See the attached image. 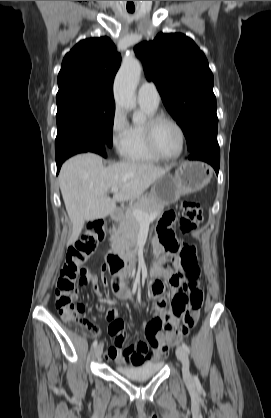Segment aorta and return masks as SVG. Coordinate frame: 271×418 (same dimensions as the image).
Listing matches in <instances>:
<instances>
[{
  "label": "aorta",
  "instance_id": "762f6f07",
  "mask_svg": "<svg viewBox=\"0 0 271 418\" xmlns=\"http://www.w3.org/2000/svg\"><path fill=\"white\" fill-rule=\"evenodd\" d=\"M142 72V65L138 59H126L114 81V98L116 105L124 109H133L136 106L135 90ZM139 115L133 117L138 121Z\"/></svg>",
  "mask_w": 271,
  "mask_h": 418
}]
</instances>
